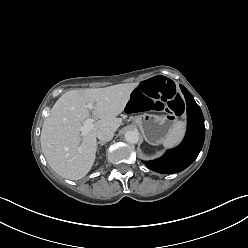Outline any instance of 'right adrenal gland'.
Returning a JSON list of instances; mask_svg holds the SVG:
<instances>
[{
    "instance_id": "2a0ac1e0",
    "label": "right adrenal gland",
    "mask_w": 248,
    "mask_h": 248,
    "mask_svg": "<svg viewBox=\"0 0 248 248\" xmlns=\"http://www.w3.org/2000/svg\"><path fill=\"white\" fill-rule=\"evenodd\" d=\"M105 144H106V142H100V141H99V142L97 143V146H98V145L103 146V145H105Z\"/></svg>"
}]
</instances>
